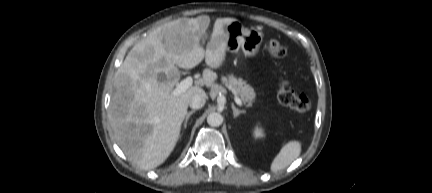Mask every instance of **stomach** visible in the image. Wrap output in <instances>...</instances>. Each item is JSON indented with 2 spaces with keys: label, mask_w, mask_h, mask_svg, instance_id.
<instances>
[{
  "label": "stomach",
  "mask_w": 432,
  "mask_h": 193,
  "mask_svg": "<svg viewBox=\"0 0 432 193\" xmlns=\"http://www.w3.org/2000/svg\"><path fill=\"white\" fill-rule=\"evenodd\" d=\"M227 50L236 52L240 48L247 57H254L263 42V34L257 29L245 28L238 20L225 26Z\"/></svg>",
  "instance_id": "1"
}]
</instances>
